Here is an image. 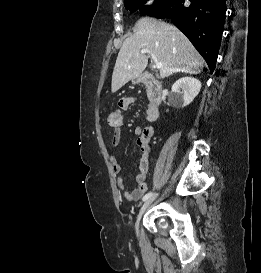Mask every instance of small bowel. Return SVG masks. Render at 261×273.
<instances>
[{"label":"small bowel","mask_w":261,"mask_h":273,"mask_svg":"<svg viewBox=\"0 0 261 273\" xmlns=\"http://www.w3.org/2000/svg\"><path fill=\"white\" fill-rule=\"evenodd\" d=\"M133 103L132 98H123L119 101L118 106L121 110H127L129 106ZM157 117V110H152L150 105L147 109V120L154 121ZM123 127L120 125L115 127L113 134L111 136V143L114 147H117L122 138ZM135 135L137 136V145L140 149V159L138 163V173L136 174L135 180L138 184L137 188L133 191H128L126 189L125 182L120 175L122 172V166L116 156L111 157V164L113 172L117 177V186L123 192L124 197L127 201L134 202L138 201L143 194L148 190V185L146 183V178L149 171V157H150V146L149 142L154 134L153 126H148L145 128L137 127L135 129Z\"/></svg>","instance_id":"c3829d8e"}]
</instances>
